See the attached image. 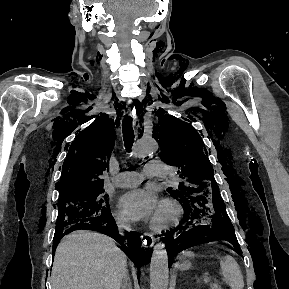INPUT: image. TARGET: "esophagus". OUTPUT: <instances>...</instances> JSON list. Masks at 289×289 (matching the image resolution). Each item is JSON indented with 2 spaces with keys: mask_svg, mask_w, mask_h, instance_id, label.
Wrapping results in <instances>:
<instances>
[{
  "mask_svg": "<svg viewBox=\"0 0 289 289\" xmlns=\"http://www.w3.org/2000/svg\"><path fill=\"white\" fill-rule=\"evenodd\" d=\"M128 104H129V114L133 115L134 112H133V109H132V104H131V102H128ZM142 237L144 239V244L145 245H147L149 247H152L154 245L155 237L152 234L144 233Z\"/></svg>",
  "mask_w": 289,
  "mask_h": 289,
  "instance_id": "obj_1",
  "label": "esophagus"
}]
</instances>
